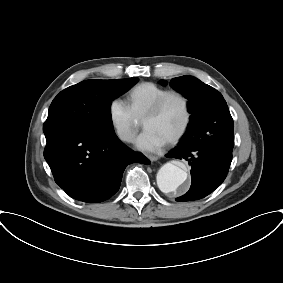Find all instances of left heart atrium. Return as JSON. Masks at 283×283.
Wrapping results in <instances>:
<instances>
[{
	"mask_svg": "<svg viewBox=\"0 0 283 283\" xmlns=\"http://www.w3.org/2000/svg\"><path fill=\"white\" fill-rule=\"evenodd\" d=\"M166 139L156 132L146 129L136 140V146L143 151H156L166 144Z\"/></svg>",
	"mask_w": 283,
	"mask_h": 283,
	"instance_id": "1",
	"label": "left heart atrium"
}]
</instances>
